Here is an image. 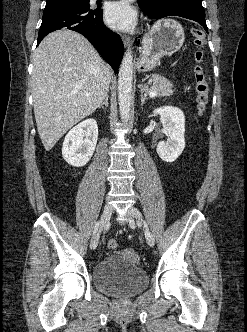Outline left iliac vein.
<instances>
[{
    "mask_svg": "<svg viewBox=\"0 0 247 332\" xmlns=\"http://www.w3.org/2000/svg\"><path fill=\"white\" fill-rule=\"evenodd\" d=\"M126 217L128 218V220H132V218H135L139 222H143V216L141 212L136 207L133 206L128 208ZM144 232L148 245L153 247L155 245V239L153 234L150 232V230L147 227L144 228Z\"/></svg>",
    "mask_w": 247,
    "mask_h": 332,
    "instance_id": "left-iliac-vein-1",
    "label": "left iliac vein"
}]
</instances>
